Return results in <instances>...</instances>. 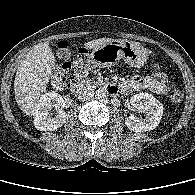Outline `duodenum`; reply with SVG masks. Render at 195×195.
Wrapping results in <instances>:
<instances>
[{"label": "duodenum", "instance_id": "410a0bca", "mask_svg": "<svg viewBox=\"0 0 195 195\" xmlns=\"http://www.w3.org/2000/svg\"><path fill=\"white\" fill-rule=\"evenodd\" d=\"M90 86V83L86 82V81H81L76 83L73 87H72V91L76 94H80L84 91H86ZM104 89L110 93V94H115L117 93V87L115 85L112 84H108L104 86Z\"/></svg>", "mask_w": 195, "mask_h": 195}]
</instances>
